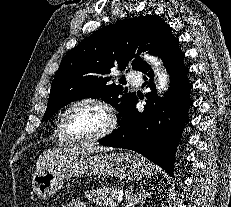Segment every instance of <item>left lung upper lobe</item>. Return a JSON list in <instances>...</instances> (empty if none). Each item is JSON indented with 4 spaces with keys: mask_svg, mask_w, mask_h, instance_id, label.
<instances>
[{
    "mask_svg": "<svg viewBox=\"0 0 231 207\" xmlns=\"http://www.w3.org/2000/svg\"><path fill=\"white\" fill-rule=\"evenodd\" d=\"M175 40L170 26L154 15L124 19L98 30L62 59L42 121L68 103L90 97L116 107L120 121L136 95L124 94L121 85L109 84L110 69L118 66L122 70L131 64L142 71L147 64L138 56L140 52L160 56Z\"/></svg>",
    "mask_w": 231,
    "mask_h": 207,
    "instance_id": "1",
    "label": "left lung upper lobe"
}]
</instances>
